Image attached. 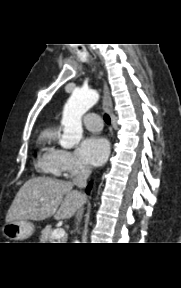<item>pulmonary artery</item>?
Returning a JSON list of instances; mask_svg holds the SVG:
<instances>
[{"instance_id":"obj_1","label":"pulmonary artery","mask_w":181,"mask_h":288,"mask_svg":"<svg viewBox=\"0 0 181 288\" xmlns=\"http://www.w3.org/2000/svg\"><path fill=\"white\" fill-rule=\"evenodd\" d=\"M84 125L90 131H100L102 127L100 116L93 112L88 113L84 118Z\"/></svg>"}]
</instances>
